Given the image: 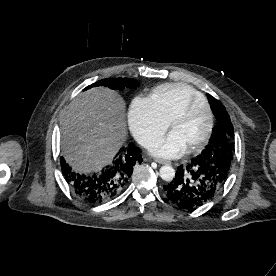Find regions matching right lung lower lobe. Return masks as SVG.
Segmentation results:
<instances>
[{
  "instance_id": "right-lung-lower-lobe-1",
  "label": "right lung lower lobe",
  "mask_w": 276,
  "mask_h": 276,
  "mask_svg": "<svg viewBox=\"0 0 276 276\" xmlns=\"http://www.w3.org/2000/svg\"><path fill=\"white\" fill-rule=\"evenodd\" d=\"M141 150L134 144L122 147L112 163L100 172L79 174L61 158V168L64 177L72 190L81 199L99 204L112 199L129 183L133 167L143 159Z\"/></svg>"
}]
</instances>
